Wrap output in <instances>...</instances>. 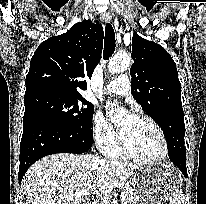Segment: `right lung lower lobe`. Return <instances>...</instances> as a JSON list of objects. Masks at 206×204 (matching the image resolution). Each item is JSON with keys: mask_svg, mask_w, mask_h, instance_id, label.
Here are the masks:
<instances>
[{"mask_svg": "<svg viewBox=\"0 0 206 204\" xmlns=\"http://www.w3.org/2000/svg\"><path fill=\"white\" fill-rule=\"evenodd\" d=\"M93 133L63 126L45 117L23 120L20 143L19 182L28 168L40 158L55 153L81 154L92 145Z\"/></svg>", "mask_w": 206, "mask_h": 204, "instance_id": "98d812e1", "label": "right lung lower lobe"}]
</instances>
